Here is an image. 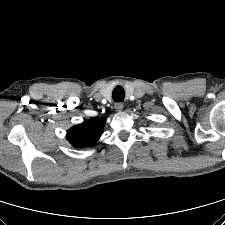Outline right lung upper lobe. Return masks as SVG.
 <instances>
[{"mask_svg": "<svg viewBox=\"0 0 225 225\" xmlns=\"http://www.w3.org/2000/svg\"><path fill=\"white\" fill-rule=\"evenodd\" d=\"M104 124L103 118H92L84 121L67 132V139L77 147L90 146L100 138Z\"/></svg>", "mask_w": 225, "mask_h": 225, "instance_id": "1", "label": "right lung upper lobe"}]
</instances>
